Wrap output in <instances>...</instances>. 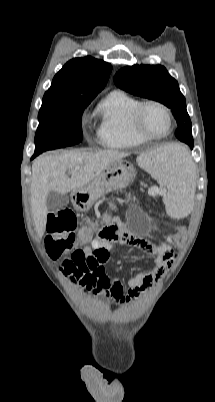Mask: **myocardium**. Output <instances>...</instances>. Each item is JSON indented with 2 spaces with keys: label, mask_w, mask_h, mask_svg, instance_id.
Returning <instances> with one entry per match:
<instances>
[{
  "label": "myocardium",
  "mask_w": 215,
  "mask_h": 402,
  "mask_svg": "<svg viewBox=\"0 0 215 402\" xmlns=\"http://www.w3.org/2000/svg\"><path fill=\"white\" fill-rule=\"evenodd\" d=\"M148 106H156L158 108H160L161 110H163L168 118V130L161 135H155V134H151L150 132H148L144 125H143V121H142V116H143V112L144 109ZM132 125L133 128L135 130V132L141 136L144 139L147 140H160L163 139L165 137H167L173 129V116L171 113V110L169 109L168 106H166L164 103L157 101V100H145V101H141L137 107L134 109L133 115H132Z\"/></svg>",
  "instance_id": "myocardium-1"
}]
</instances>
